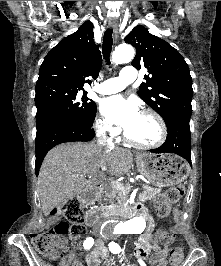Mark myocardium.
Masks as SVG:
<instances>
[{"label":"myocardium","mask_w":221,"mask_h":266,"mask_svg":"<svg viewBox=\"0 0 221 266\" xmlns=\"http://www.w3.org/2000/svg\"><path fill=\"white\" fill-rule=\"evenodd\" d=\"M141 114L150 116L155 121V123L158 127V130H159L157 138L150 143H142V142H138V141L133 140L128 135L127 131L125 130L124 131L125 141L128 144H130L136 148H140V149H152V148H155V147L161 145L165 141L166 136H167V126H166L163 118L157 112H155L152 109H144L141 112Z\"/></svg>","instance_id":"f54148a6"}]
</instances>
